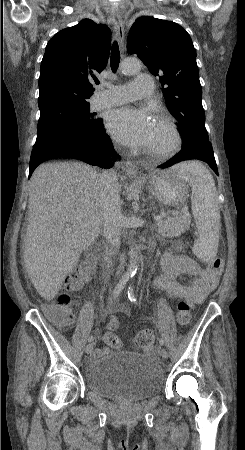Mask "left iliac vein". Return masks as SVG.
<instances>
[{
    "mask_svg": "<svg viewBox=\"0 0 245 450\" xmlns=\"http://www.w3.org/2000/svg\"><path fill=\"white\" fill-rule=\"evenodd\" d=\"M160 355L164 359L168 358V352L164 348L160 351Z\"/></svg>",
    "mask_w": 245,
    "mask_h": 450,
    "instance_id": "1",
    "label": "left iliac vein"
}]
</instances>
